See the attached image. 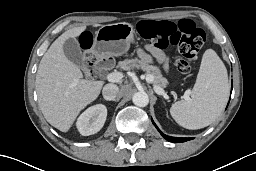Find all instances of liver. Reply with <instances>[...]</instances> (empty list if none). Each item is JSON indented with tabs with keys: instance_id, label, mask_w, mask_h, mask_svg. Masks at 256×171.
I'll list each match as a JSON object with an SVG mask.
<instances>
[{
	"instance_id": "1",
	"label": "liver",
	"mask_w": 256,
	"mask_h": 171,
	"mask_svg": "<svg viewBox=\"0 0 256 171\" xmlns=\"http://www.w3.org/2000/svg\"><path fill=\"white\" fill-rule=\"evenodd\" d=\"M85 30L86 26L74 27L59 36L42 57L36 74L39 108L47 122L62 132H67L80 111L99 96L104 84L82 79L80 69L64 54V42Z\"/></svg>"
}]
</instances>
